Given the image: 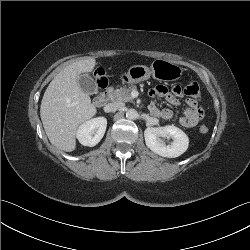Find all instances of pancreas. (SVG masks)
<instances>
[{
    "mask_svg": "<svg viewBox=\"0 0 250 250\" xmlns=\"http://www.w3.org/2000/svg\"><path fill=\"white\" fill-rule=\"evenodd\" d=\"M136 89V86L131 85L130 87H121L119 89L112 90L109 93L111 100L116 102H133L131 92Z\"/></svg>",
    "mask_w": 250,
    "mask_h": 250,
    "instance_id": "obj_1",
    "label": "pancreas"
}]
</instances>
